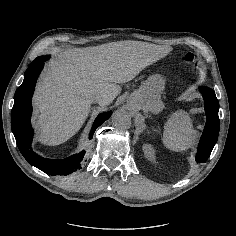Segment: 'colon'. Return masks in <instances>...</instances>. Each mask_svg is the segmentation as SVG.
Here are the masks:
<instances>
[{
    "label": "colon",
    "instance_id": "1",
    "mask_svg": "<svg viewBox=\"0 0 236 236\" xmlns=\"http://www.w3.org/2000/svg\"><path fill=\"white\" fill-rule=\"evenodd\" d=\"M183 61L195 67L200 66V60L193 52H185L183 54Z\"/></svg>",
    "mask_w": 236,
    "mask_h": 236
}]
</instances>
